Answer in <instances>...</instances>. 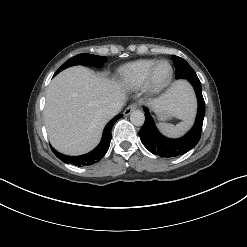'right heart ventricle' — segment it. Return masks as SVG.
<instances>
[{"mask_svg": "<svg viewBox=\"0 0 247 247\" xmlns=\"http://www.w3.org/2000/svg\"><path fill=\"white\" fill-rule=\"evenodd\" d=\"M156 59H140L124 65L118 73V82L125 88L137 89L141 87Z\"/></svg>", "mask_w": 247, "mask_h": 247, "instance_id": "obj_1", "label": "right heart ventricle"}]
</instances>
